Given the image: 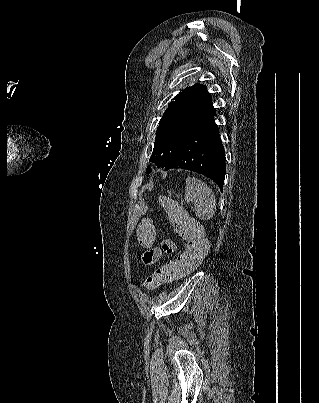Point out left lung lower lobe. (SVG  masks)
Here are the masks:
<instances>
[{
	"label": "left lung lower lobe",
	"mask_w": 319,
	"mask_h": 403,
	"mask_svg": "<svg viewBox=\"0 0 319 403\" xmlns=\"http://www.w3.org/2000/svg\"><path fill=\"white\" fill-rule=\"evenodd\" d=\"M211 105L190 129L186 140L172 156L165 170L187 169L203 174L223 190L226 173L225 150Z\"/></svg>",
	"instance_id": "1"
}]
</instances>
